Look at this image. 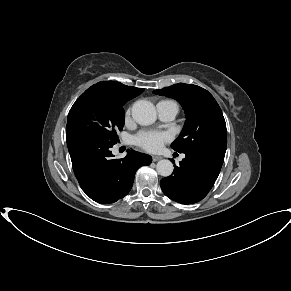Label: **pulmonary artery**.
<instances>
[{
	"instance_id": "e3ab8cb5",
	"label": "pulmonary artery",
	"mask_w": 291,
	"mask_h": 291,
	"mask_svg": "<svg viewBox=\"0 0 291 291\" xmlns=\"http://www.w3.org/2000/svg\"><path fill=\"white\" fill-rule=\"evenodd\" d=\"M157 111L159 118L162 121L169 122L172 121L178 114V106L173 101L165 100L157 104ZM181 158H184V156Z\"/></svg>"
}]
</instances>
